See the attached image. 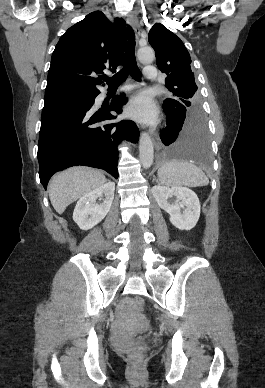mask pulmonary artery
Here are the masks:
<instances>
[{"label":"pulmonary artery","instance_id":"1","mask_svg":"<svg viewBox=\"0 0 265 388\" xmlns=\"http://www.w3.org/2000/svg\"><path fill=\"white\" fill-rule=\"evenodd\" d=\"M147 72L143 73L144 79H153V77L157 74L156 64H147Z\"/></svg>","mask_w":265,"mask_h":388}]
</instances>
